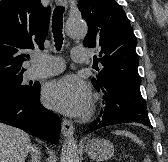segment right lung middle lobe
<instances>
[{"label": "right lung middle lobe", "instance_id": "obj_1", "mask_svg": "<svg viewBox=\"0 0 168 162\" xmlns=\"http://www.w3.org/2000/svg\"><path fill=\"white\" fill-rule=\"evenodd\" d=\"M23 72L0 75V91L17 90L20 92H28L32 86L23 85Z\"/></svg>", "mask_w": 168, "mask_h": 162}]
</instances>
